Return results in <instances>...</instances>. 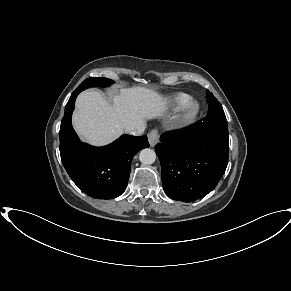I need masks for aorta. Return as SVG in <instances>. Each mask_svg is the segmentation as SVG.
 <instances>
[{"label":"aorta","mask_w":291,"mask_h":291,"mask_svg":"<svg viewBox=\"0 0 291 291\" xmlns=\"http://www.w3.org/2000/svg\"><path fill=\"white\" fill-rule=\"evenodd\" d=\"M139 159L144 165L153 164L156 160V153L154 150L149 148L142 149L139 154Z\"/></svg>","instance_id":"aorta-1"}]
</instances>
